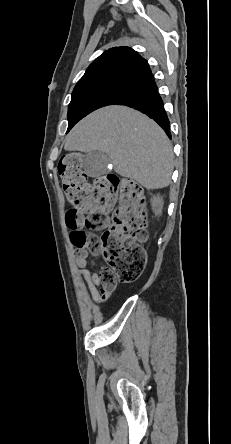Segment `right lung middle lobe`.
Segmentation results:
<instances>
[{
  "label": "right lung middle lobe",
  "mask_w": 231,
  "mask_h": 444,
  "mask_svg": "<svg viewBox=\"0 0 231 444\" xmlns=\"http://www.w3.org/2000/svg\"><path fill=\"white\" fill-rule=\"evenodd\" d=\"M129 92L127 88L116 84H102L89 88L74 89L68 108V130L90 112L113 104Z\"/></svg>",
  "instance_id": "obj_1"
}]
</instances>
